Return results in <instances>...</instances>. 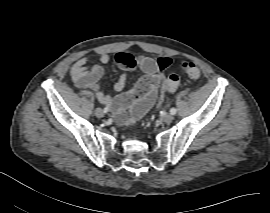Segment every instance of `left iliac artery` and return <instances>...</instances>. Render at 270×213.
<instances>
[{
    "label": "left iliac artery",
    "instance_id": "obj_1",
    "mask_svg": "<svg viewBox=\"0 0 270 213\" xmlns=\"http://www.w3.org/2000/svg\"><path fill=\"white\" fill-rule=\"evenodd\" d=\"M170 113H171L172 115H175V114L177 113V110H176L175 108H171V109H170Z\"/></svg>",
    "mask_w": 270,
    "mask_h": 213
}]
</instances>
